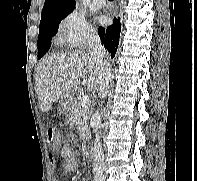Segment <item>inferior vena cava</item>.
Instances as JSON below:
<instances>
[{
    "label": "inferior vena cava",
    "mask_w": 197,
    "mask_h": 181,
    "mask_svg": "<svg viewBox=\"0 0 197 181\" xmlns=\"http://www.w3.org/2000/svg\"><path fill=\"white\" fill-rule=\"evenodd\" d=\"M88 47L91 59L95 62L100 76V87L98 96L104 99L108 94L109 82L111 78L109 64L104 59L105 51L98 33H92L88 39ZM93 132L95 140L93 146V181L104 180V154L100 143L99 128L101 126V116L96 112L92 118Z\"/></svg>",
    "instance_id": "inferior-vena-cava-1"
}]
</instances>
